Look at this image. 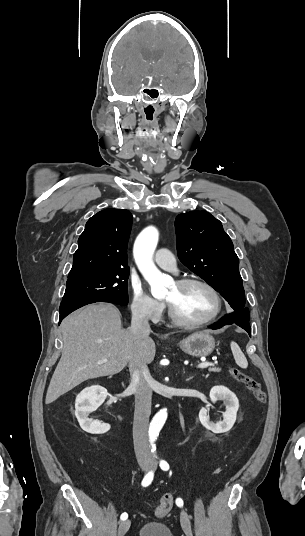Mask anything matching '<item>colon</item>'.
<instances>
[{"label": "colon", "instance_id": "colon-1", "mask_svg": "<svg viewBox=\"0 0 305 536\" xmlns=\"http://www.w3.org/2000/svg\"><path fill=\"white\" fill-rule=\"evenodd\" d=\"M228 372H229V375L234 380H236L237 382L241 384H244L253 393L258 403L260 404L265 403L267 394H266V391L263 389L259 380L246 374L245 372H243L237 367H229ZM173 503H174L173 494L171 492H165L164 494H162L154 510L155 514L158 516L165 515L172 509Z\"/></svg>", "mask_w": 305, "mask_h": 536}]
</instances>
